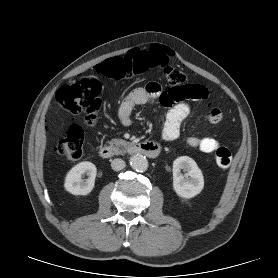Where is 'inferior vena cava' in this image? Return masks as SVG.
<instances>
[{"instance_id": "inferior-vena-cava-1", "label": "inferior vena cava", "mask_w": 278, "mask_h": 278, "mask_svg": "<svg viewBox=\"0 0 278 278\" xmlns=\"http://www.w3.org/2000/svg\"><path fill=\"white\" fill-rule=\"evenodd\" d=\"M125 166H126L125 161L120 158L114 159L111 162V167L115 171H120L123 168H125Z\"/></svg>"}]
</instances>
